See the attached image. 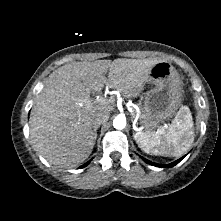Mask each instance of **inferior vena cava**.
Returning <instances> with one entry per match:
<instances>
[{
	"instance_id": "1",
	"label": "inferior vena cava",
	"mask_w": 221,
	"mask_h": 221,
	"mask_svg": "<svg viewBox=\"0 0 221 221\" xmlns=\"http://www.w3.org/2000/svg\"><path fill=\"white\" fill-rule=\"evenodd\" d=\"M109 118V115L98 111L96 113L93 114V125L94 127L97 125H101L102 123H105Z\"/></svg>"
}]
</instances>
